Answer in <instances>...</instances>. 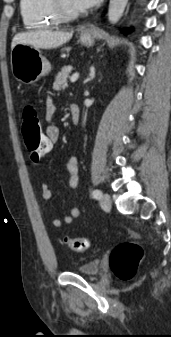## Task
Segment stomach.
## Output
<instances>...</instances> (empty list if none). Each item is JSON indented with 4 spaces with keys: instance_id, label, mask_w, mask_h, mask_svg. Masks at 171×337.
I'll list each match as a JSON object with an SVG mask.
<instances>
[{
    "instance_id": "stomach-1",
    "label": "stomach",
    "mask_w": 171,
    "mask_h": 337,
    "mask_svg": "<svg viewBox=\"0 0 171 337\" xmlns=\"http://www.w3.org/2000/svg\"><path fill=\"white\" fill-rule=\"evenodd\" d=\"M80 41L86 46L93 45L91 35L82 34ZM11 69L16 80L24 84H32L51 71V64L38 48L17 44L11 51Z\"/></svg>"
}]
</instances>
